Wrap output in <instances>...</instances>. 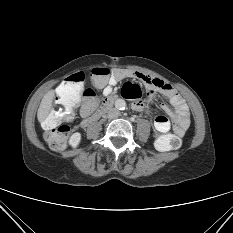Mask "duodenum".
<instances>
[{"label":"duodenum","instance_id":"obj_1","mask_svg":"<svg viewBox=\"0 0 233 233\" xmlns=\"http://www.w3.org/2000/svg\"><path fill=\"white\" fill-rule=\"evenodd\" d=\"M114 99H115V96L107 97V98L104 100V102L102 103V105H101V107L99 108V110H98L94 115H92L90 118L84 120V125L89 124L92 120L96 119V118L99 117L102 113H104L105 111H107V110L111 107V105H112Z\"/></svg>","mask_w":233,"mask_h":233}]
</instances>
